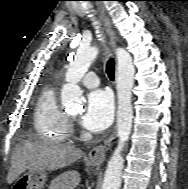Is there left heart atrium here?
Segmentation results:
<instances>
[{
  "mask_svg": "<svg viewBox=\"0 0 188 189\" xmlns=\"http://www.w3.org/2000/svg\"><path fill=\"white\" fill-rule=\"evenodd\" d=\"M113 114L114 102L111 92L107 89H97L88 95L81 123L93 132H101L111 124Z\"/></svg>",
  "mask_w": 188,
  "mask_h": 189,
  "instance_id": "1",
  "label": "left heart atrium"
}]
</instances>
